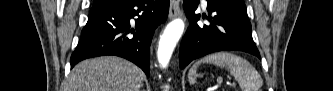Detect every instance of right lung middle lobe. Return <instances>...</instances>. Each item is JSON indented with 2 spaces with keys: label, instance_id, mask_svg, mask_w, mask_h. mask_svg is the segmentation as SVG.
Here are the masks:
<instances>
[{
  "label": "right lung middle lobe",
  "instance_id": "dd1d6c3e",
  "mask_svg": "<svg viewBox=\"0 0 333 91\" xmlns=\"http://www.w3.org/2000/svg\"><path fill=\"white\" fill-rule=\"evenodd\" d=\"M125 0H94L92 8L109 7L123 3Z\"/></svg>",
  "mask_w": 333,
  "mask_h": 91
}]
</instances>
